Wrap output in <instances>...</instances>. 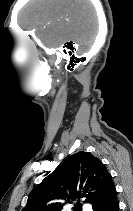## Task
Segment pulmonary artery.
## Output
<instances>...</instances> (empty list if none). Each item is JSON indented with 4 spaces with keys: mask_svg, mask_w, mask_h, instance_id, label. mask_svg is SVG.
Here are the masks:
<instances>
[{
    "mask_svg": "<svg viewBox=\"0 0 133 211\" xmlns=\"http://www.w3.org/2000/svg\"><path fill=\"white\" fill-rule=\"evenodd\" d=\"M83 211H91L90 207L88 205H84V210Z\"/></svg>",
    "mask_w": 133,
    "mask_h": 211,
    "instance_id": "e3ab8cb5",
    "label": "pulmonary artery"
}]
</instances>
